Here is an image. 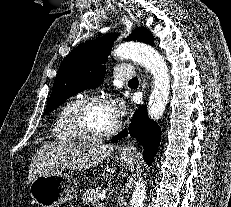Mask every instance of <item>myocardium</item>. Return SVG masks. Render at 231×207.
Returning a JSON list of instances; mask_svg holds the SVG:
<instances>
[{
	"label": "myocardium",
	"mask_w": 231,
	"mask_h": 207,
	"mask_svg": "<svg viewBox=\"0 0 231 207\" xmlns=\"http://www.w3.org/2000/svg\"><path fill=\"white\" fill-rule=\"evenodd\" d=\"M94 103H104L107 104V100L102 95H87L82 98H79L73 104L70 113H69V121L73 131L76 135L85 141L98 142L109 139L116 135L120 130L121 124L119 120H116L115 124L106 132L103 133H93L91 132L83 123L81 114L83 109Z\"/></svg>",
	"instance_id": "myocardium-1"
}]
</instances>
